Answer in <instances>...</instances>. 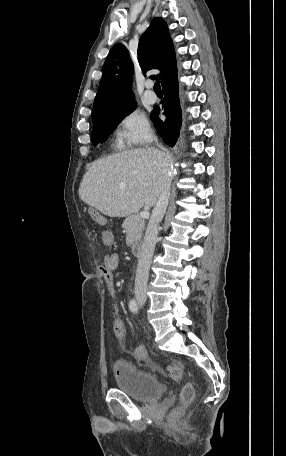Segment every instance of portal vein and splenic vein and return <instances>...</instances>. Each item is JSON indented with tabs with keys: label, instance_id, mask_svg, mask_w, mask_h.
Instances as JSON below:
<instances>
[{
	"label": "portal vein and splenic vein",
	"instance_id": "18ae733b",
	"mask_svg": "<svg viewBox=\"0 0 286 456\" xmlns=\"http://www.w3.org/2000/svg\"><path fill=\"white\" fill-rule=\"evenodd\" d=\"M149 215H150V213H149L148 209H145L144 211H142V212L140 213V217L143 218V219L148 218Z\"/></svg>",
	"mask_w": 286,
	"mask_h": 456
}]
</instances>
